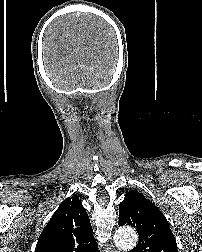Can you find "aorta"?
Masks as SVG:
<instances>
[{
	"label": "aorta",
	"instance_id": "762f6f07",
	"mask_svg": "<svg viewBox=\"0 0 202 252\" xmlns=\"http://www.w3.org/2000/svg\"><path fill=\"white\" fill-rule=\"evenodd\" d=\"M138 241L136 231L130 227H121L116 230L114 235V243L118 248L123 250H131Z\"/></svg>",
	"mask_w": 202,
	"mask_h": 252
}]
</instances>
